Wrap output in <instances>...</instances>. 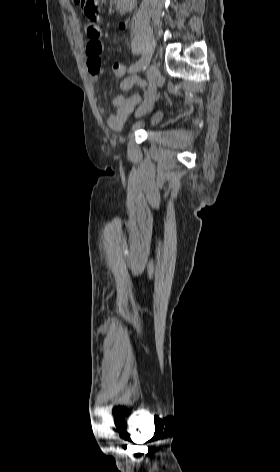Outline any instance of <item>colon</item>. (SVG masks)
<instances>
[{
  "label": "colon",
  "mask_w": 280,
  "mask_h": 472,
  "mask_svg": "<svg viewBox=\"0 0 280 472\" xmlns=\"http://www.w3.org/2000/svg\"><path fill=\"white\" fill-rule=\"evenodd\" d=\"M73 2L82 9L88 20L98 21L100 0H73ZM114 73L117 77H125L127 67L123 64H115Z\"/></svg>",
  "instance_id": "colon-1"
}]
</instances>
